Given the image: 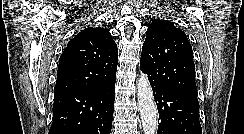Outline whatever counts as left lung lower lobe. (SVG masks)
Returning <instances> with one entry per match:
<instances>
[{
  "label": "left lung lower lobe",
  "mask_w": 244,
  "mask_h": 134,
  "mask_svg": "<svg viewBox=\"0 0 244 134\" xmlns=\"http://www.w3.org/2000/svg\"><path fill=\"white\" fill-rule=\"evenodd\" d=\"M152 89L160 120L157 134H202L197 93Z\"/></svg>",
  "instance_id": "1"
}]
</instances>
